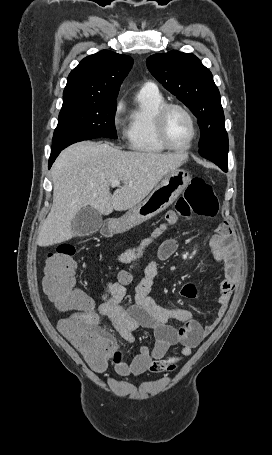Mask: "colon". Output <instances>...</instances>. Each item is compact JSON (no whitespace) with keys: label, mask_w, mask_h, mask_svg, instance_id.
<instances>
[{"label":"colon","mask_w":272,"mask_h":455,"mask_svg":"<svg viewBox=\"0 0 272 455\" xmlns=\"http://www.w3.org/2000/svg\"><path fill=\"white\" fill-rule=\"evenodd\" d=\"M218 209L219 203L211 185L201 177H194L184 195L178 199L175 209L169 211L164 222L142 240L141 250L127 268L118 272L117 278L129 284L133 279L132 271L143 256L142 251L168 228L194 216L214 217ZM75 254L73 245L62 244L48 255L43 290L57 310L64 314L58 325L62 334L82 352L92 369L100 371L108 366L111 359L118 363L121 357L114 339L96 328L97 317L92 311L91 298L75 285Z\"/></svg>","instance_id":"colon-1"}]
</instances>
